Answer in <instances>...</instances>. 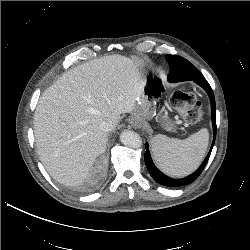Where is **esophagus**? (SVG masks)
Here are the masks:
<instances>
[{
	"instance_id": "34e87169",
	"label": "esophagus",
	"mask_w": 250,
	"mask_h": 250,
	"mask_svg": "<svg viewBox=\"0 0 250 250\" xmlns=\"http://www.w3.org/2000/svg\"><path fill=\"white\" fill-rule=\"evenodd\" d=\"M131 124L133 125V127L135 128H140L142 126V124L138 121H136L135 119L132 118L131 120Z\"/></svg>"
}]
</instances>
